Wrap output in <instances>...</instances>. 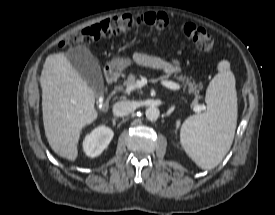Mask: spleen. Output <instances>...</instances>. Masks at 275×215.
<instances>
[{
  "instance_id": "obj_1",
  "label": "spleen",
  "mask_w": 275,
  "mask_h": 215,
  "mask_svg": "<svg viewBox=\"0 0 275 215\" xmlns=\"http://www.w3.org/2000/svg\"><path fill=\"white\" fill-rule=\"evenodd\" d=\"M205 100L207 110L184 121L180 141L200 168L212 169L229 151L237 125L235 77L227 60L218 64V73L208 85Z\"/></svg>"
}]
</instances>
